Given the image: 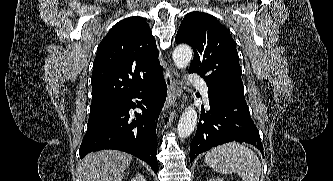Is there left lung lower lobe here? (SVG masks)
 <instances>
[{"instance_id":"left-lung-lower-lobe-1","label":"left lung lower lobe","mask_w":333,"mask_h":181,"mask_svg":"<svg viewBox=\"0 0 333 181\" xmlns=\"http://www.w3.org/2000/svg\"><path fill=\"white\" fill-rule=\"evenodd\" d=\"M209 87L210 110L202 109L195 137L190 145V161L200 153L231 141L246 142L263 154V145L249 109L227 99L218 89Z\"/></svg>"}]
</instances>
